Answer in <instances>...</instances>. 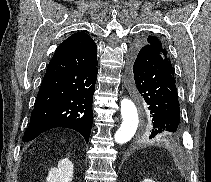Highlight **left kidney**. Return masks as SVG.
I'll return each mask as SVG.
<instances>
[{
	"instance_id": "obj_1",
	"label": "left kidney",
	"mask_w": 211,
	"mask_h": 182,
	"mask_svg": "<svg viewBox=\"0 0 211 182\" xmlns=\"http://www.w3.org/2000/svg\"><path fill=\"white\" fill-rule=\"evenodd\" d=\"M143 182H155V181L152 179H144Z\"/></svg>"
}]
</instances>
